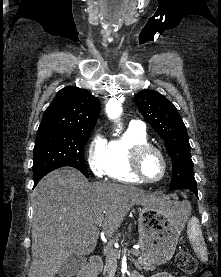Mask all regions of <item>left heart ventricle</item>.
Segmentation results:
<instances>
[{"mask_svg":"<svg viewBox=\"0 0 221 277\" xmlns=\"http://www.w3.org/2000/svg\"><path fill=\"white\" fill-rule=\"evenodd\" d=\"M144 175L149 179H157L162 173V162L155 152L147 153L141 163Z\"/></svg>","mask_w":221,"mask_h":277,"instance_id":"left-heart-ventricle-1","label":"left heart ventricle"}]
</instances>
